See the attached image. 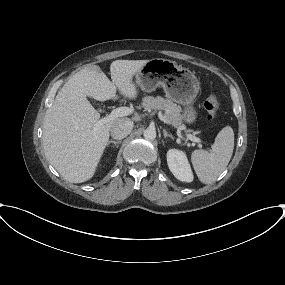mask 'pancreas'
I'll return each mask as SVG.
<instances>
[{"label":"pancreas","instance_id":"obj_1","mask_svg":"<svg viewBox=\"0 0 285 285\" xmlns=\"http://www.w3.org/2000/svg\"><path fill=\"white\" fill-rule=\"evenodd\" d=\"M142 106L145 110H164V117L169 123L178 129H182L181 108L170 99L163 97L146 96L143 98Z\"/></svg>","mask_w":285,"mask_h":285}]
</instances>
